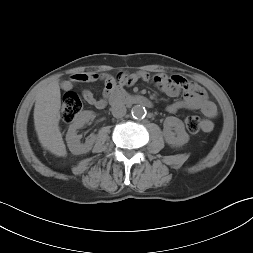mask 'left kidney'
Returning <instances> with one entry per match:
<instances>
[{
    "label": "left kidney",
    "instance_id": "obj_1",
    "mask_svg": "<svg viewBox=\"0 0 253 253\" xmlns=\"http://www.w3.org/2000/svg\"><path fill=\"white\" fill-rule=\"evenodd\" d=\"M163 126V135L168 144L179 147L189 141V135L180 119L173 116L166 117Z\"/></svg>",
    "mask_w": 253,
    "mask_h": 253
}]
</instances>
